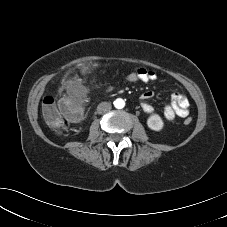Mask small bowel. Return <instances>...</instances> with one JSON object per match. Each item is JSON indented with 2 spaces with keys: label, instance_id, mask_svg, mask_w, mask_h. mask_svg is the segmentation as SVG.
I'll return each instance as SVG.
<instances>
[{
  "label": "small bowel",
  "instance_id": "small-bowel-1",
  "mask_svg": "<svg viewBox=\"0 0 227 227\" xmlns=\"http://www.w3.org/2000/svg\"><path fill=\"white\" fill-rule=\"evenodd\" d=\"M137 70L141 74V82L147 83L157 79V73L154 70L145 68H138ZM153 96V92L147 91L142 94L140 99V105L143 111L148 114L154 111V108L149 103V100H151ZM185 113H189V101L187 97L182 93H174L171 102L163 109L164 119L166 121H172L176 116L183 117Z\"/></svg>",
  "mask_w": 227,
  "mask_h": 227
}]
</instances>
